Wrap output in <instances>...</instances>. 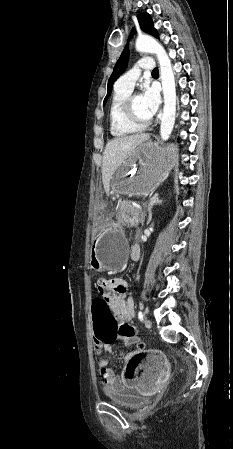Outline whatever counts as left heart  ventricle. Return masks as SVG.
Masks as SVG:
<instances>
[{"instance_id":"left-heart-ventricle-1","label":"left heart ventricle","mask_w":233,"mask_h":449,"mask_svg":"<svg viewBox=\"0 0 233 449\" xmlns=\"http://www.w3.org/2000/svg\"><path fill=\"white\" fill-rule=\"evenodd\" d=\"M134 109L136 114L141 118H147L150 116L144 104L142 95L140 94H138L134 99Z\"/></svg>"}]
</instances>
